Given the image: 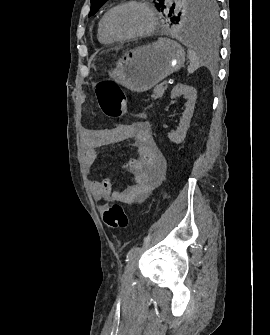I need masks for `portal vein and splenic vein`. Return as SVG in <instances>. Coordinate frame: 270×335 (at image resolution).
Here are the masks:
<instances>
[{"label": "portal vein and splenic vein", "instance_id": "obj_1", "mask_svg": "<svg viewBox=\"0 0 270 335\" xmlns=\"http://www.w3.org/2000/svg\"><path fill=\"white\" fill-rule=\"evenodd\" d=\"M166 81H167V80H166ZM166 81L164 80V81L162 82V83H163V86H166V83H167Z\"/></svg>", "mask_w": 270, "mask_h": 335}]
</instances>
